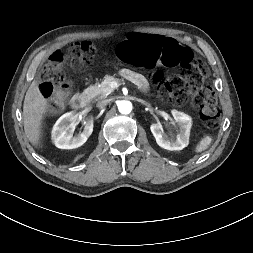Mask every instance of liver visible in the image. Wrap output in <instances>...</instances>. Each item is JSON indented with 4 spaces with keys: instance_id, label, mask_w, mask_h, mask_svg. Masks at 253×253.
Masks as SVG:
<instances>
[{
    "instance_id": "1",
    "label": "liver",
    "mask_w": 253,
    "mask_h": 253,
    "mask_svg": "<svg viewBox=\"0 0 253 253\" xmlns=\"http://www.w3.org/2000/svg\"><path fill=\"white\" fill-rule=\"evenodd\" d=\"M47 101L34 80L28 88L23 104L24 131L34 146L39 145L43 114L46 111Z\"/></svg>"
}]
</instances>
